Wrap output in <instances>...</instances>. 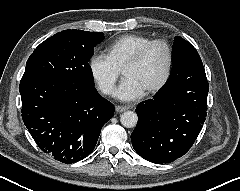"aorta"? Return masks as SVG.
Masks as SVG:
<instances>
[{
  "label": "aorta",
  "mask_w": 240,
  "mask_h": 191,
  "mask_svg": "<svg viewBox=\"0 0 240 191\" xmlns=\"http://www.w3.org/2000/svg\"><path fill=\"white\" fill-rule=\"evenodd\" d=\"M120 122L126 128H133L137 125L138 116L133 111H126L121 114Z\"/></svg>",
  "instance_id": "762f6f07"
}]
</instances>
